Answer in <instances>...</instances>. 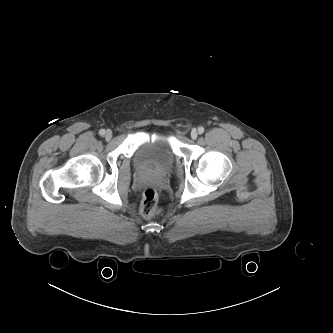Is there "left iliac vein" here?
<instances>
[{
	"label": "left iliac vein",
	"mask_w": 333,
	"mask_h": 333,
	"mask_svg": "<svg viewBox=\"0 0 333 333\" xmlns=\"http://www.w3.org/2000/svg\"><path fill=\"white\" fill-rule=\"evenodd\" d=\"M197 136H198L197 131H196L195 129H193V130L191 131V138H192L193 140H195V139L197 138Z\"/></svg>",
	"instance_id": "obj_1"
}]
</instances>
